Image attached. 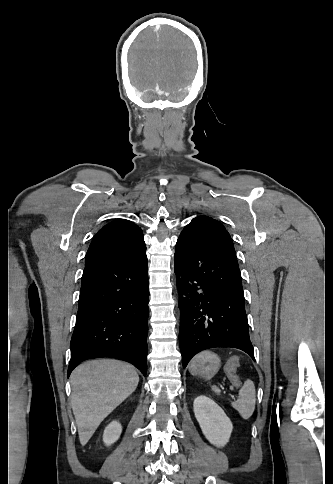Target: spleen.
Returning <instances> with one entry per match:
<instances>
[{
	"label": "spleen",
	"mask_w": 333,
	"mask_h": 484,
	"mask_svg": "<svg viewBox=\"0 0 333 484\" xmlns=\"http://www.w3.org/2000/svg\"><path fill=\"white\" fill-rule=\"evenodd\" d=\"M212 390L219 394L217 387H212ZM256 403V392L254 383L251 380H246L243 387L239 390V398L231 402V406L240 414V416L248 420L254 413Z\"/></svg>",
	"instance_id": "3e777b00"
}]
</instances>
